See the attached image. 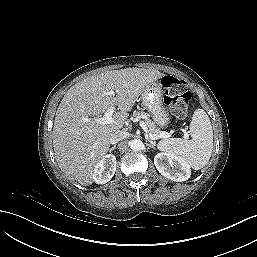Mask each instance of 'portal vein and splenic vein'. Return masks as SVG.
<instances>
[{"mask_svg": "<svg viewBox=\"0 0 257 257\" xmlns=\"http://www.w3.org/2000/svg\"><path fill=\"white\" fill-rule=\"evenodd\" d=\"M107 94L108 95H114L115 92L113 90H111ZM114 111H115V107L114 106H110L107 109V111L104 113L103 117L97 119V122L99 124H110V123H112L113 122L112 115H113ZM140 126L144 129L145 132H148V129H147V127H146V125H145V123L143 121L140 123ZM149 137L152 140H157L159 138H168V137H170V133L161 132L159 135H155V134H151L150 133ZM184 137L188 138L187 132H184Z\"/></svg>", "mask_w": 257, "mask_h": 257, "instance_id": "18ae733b", "label": "portal vein and splenic vein"}]
</instances>
